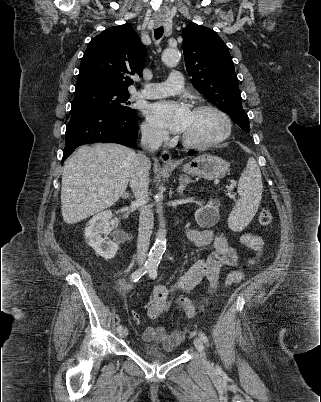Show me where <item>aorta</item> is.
I'll return each mask as SVG.
<instances>
[{"label": "aorta", "mask_w": 321, "mask_h": 402, "mask_svg": "<svg viewBox=\"0 0 321 402\" xmlns=\"http://www.w3.org/2000/svg\"><path fill=\"white\" fill-rule=\"evenodd\" d=\"M180 58L181 54L179 50L173 48L165 49L162 54V61L168 67H175ZM162 201L163 195L161 193H157L155 196V204L157 207L159 228L156 233L154 245L150 250L147 260V267L149 270H156L166 250V223L163 217Z\"/></svg>", "instance_id": "762f6f07"}]
</instances>
